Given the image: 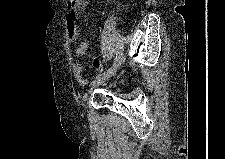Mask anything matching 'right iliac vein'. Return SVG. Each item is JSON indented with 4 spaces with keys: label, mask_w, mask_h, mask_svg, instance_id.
I'll list each match as a JSON object with an SVG mask.
<instances>
[{
    "label": "right iliac vein",
    "mask_w": 225,
    "mask_h": 159,
    "mask_svg": "<svg viewBox=\"0 0 225 159\" xmlns=\"http://www.w3.org/2000/svg\"><path fill=\"white\" fill-rule=\"evenodd\" d=\"M123 60V55L119 57V59L104 73L99 74L95 80L92 83L91 89L89 93H92L94 89H96L98 86H100L102 83H104L106 80H108L111 76H113L116 71L118 70L119 66L121 65ZM88 99V97H85V101Z\"/></svg>",
    "instance_id": "obj_1"
}]
</instances>
